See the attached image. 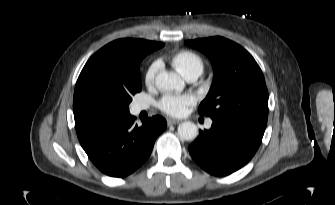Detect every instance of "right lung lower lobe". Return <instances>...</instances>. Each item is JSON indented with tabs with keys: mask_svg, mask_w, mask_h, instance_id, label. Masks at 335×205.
<instances>
[{
	"mask_svg": "<svg viewBox=\"0 0 335 205\" xmlns=\"http://www.w3.org/2000/svg\"><path fill=\"white\" fill-rule=\"evenodd\" d=\"M129 114L100 125L79 130V142L103 173L112 177H125L138 169L149 157L157 136L167 126L161 116L134 123Z\"/></svg>",
	"mask_w": 335,
	"mask_h": 205,
	"instance_id": "obj_1",
	"label": "right lung lower lobe"
}]
</instances>
